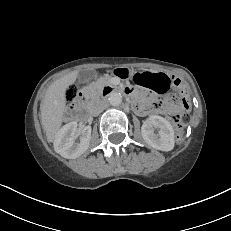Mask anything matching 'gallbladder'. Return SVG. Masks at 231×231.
Instances as JSON below:
<instances>
[{"mask_svg": "<svg viewBox=\"0 0 231 231\" xmlns=\"http://www.w3.org/2000/svg\"><path fill=\"white\" fill-rule=\"evenodd\" d=\"M92 75H93V71L85 70V71L80 73L79 77L81 80H85V79L91 78Z\"/></svg>", "mask_w": 231, "mask_h": 231, "instance_id": "1", "label": "gallbladder"}]
</instances>
